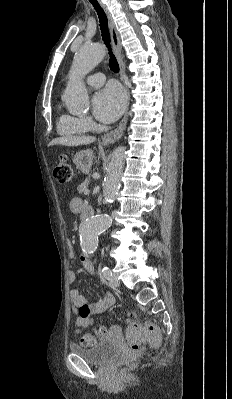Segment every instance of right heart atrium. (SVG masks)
I'll return each mask as SVG.
<instances>
[{
	"instance_id": "1",
	"label": "right heart atrium",
	"mask_w": 232,
	"mask_h": 399,
	"mask_svg": "<svg viewBox=\"0 0 232 399\" xmlns=\"http://www.w3.org/2000/svg\"><path fill=\"white\" fill-rule=\"evenodd\" d=\"M83 121H84V123H85L89 128H92V127L94 126V125H93V122H92L91 119L88 118V117L83 118Z\"/></svg>"
}]
</instances>
